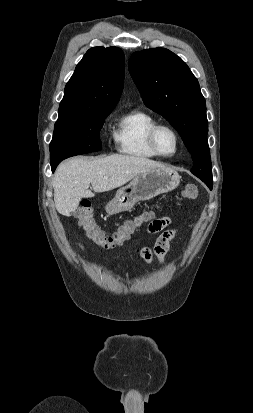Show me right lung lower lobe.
I'll list each match as a JSON object with an SVG mask.
<instances>
[{
    "label": "right lung lower lobe",
    "instance_id": "right-lung-lower-lobe-1",
    "mask_svg": "<svg viewBox=\"0 0 253 413\" xmlns=\"http://www.w3.org/2000/svg\"><path fill=\"white\" fill-rule=\"evenodd\" d=\"M58 164H59V163H52V164H51V169H52L53 172L55 171V169H56V167H57Z\"/></svg>",
    "mask_w": 253,
    "mask_h": 413
}]
</instances>
